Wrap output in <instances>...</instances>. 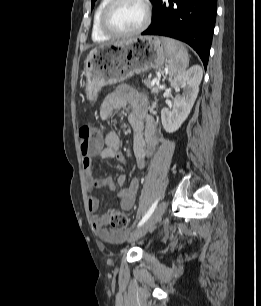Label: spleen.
<instances>
[{
    "mask_svg": "<svg viewBox=\"0 0 261 306\" xmlns=\"http://www.w3.org/2000/svg\"><path fill=\"white\" fill-rule=\"evenodd\" d=\"M162 42L168 57L170 77L181 75L189 66V56L186 48L179 42L168 37H162Z\"/></svg>",
    "mask_w": 261,
    "mask_h": 306,
    "instance_id": "1",
    "label": "spleen"
}]
</instances>
